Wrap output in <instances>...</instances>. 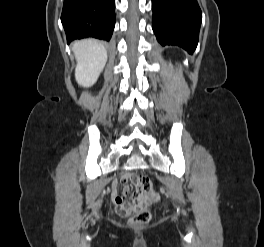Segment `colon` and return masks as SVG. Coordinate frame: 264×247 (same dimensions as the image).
Instances as JSON below:
<instances>
[{"instance_id":"1","label":"colon","mask_w":264,"mask_h":247,"mask_svg":"<svg viewBox=\"0 0 264 247\" xmlns=\"http://www.w3.org/2000/svg\"><path fill=\"white\" fill-rule=\"evenodd\" d=\"M133 186L138 193L132 199H124L117 203L119 212L130 216L133 225L147 224L151 219V213L146 207L147 200L143 196L157 198L150 178L145 174H137L132 177Z\"/></svg>"}]
</instances>
